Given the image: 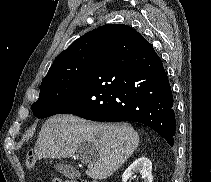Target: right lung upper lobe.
<instances>
[{
    "instance_id": "cb5924a9",
    "label": "right lung upper lobe",
    "mask_w": 211,
    "mask_h": 182,
    "mask_svg": "<svg viewBox=\"0 0 211 182\" xmlns=\"http://www.w3.org/2000/svg\"><path fill=\"white\" fill-rule=\"evenodd\" d=\"M110 25L125 27L127 29V34L129 35L130 40L137 45H140L145 40L141 34L126 25L108 24L98 27L97 29L89 31L85 35L81 36L79 39L75 40L66 50L62 51L55 58L47 75L44 78L53 76L60 70L68 69L69 67L76 65H86L89 62H92L99 32L103 27Z\"/></svg>"
}]
</instances>
